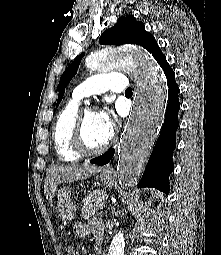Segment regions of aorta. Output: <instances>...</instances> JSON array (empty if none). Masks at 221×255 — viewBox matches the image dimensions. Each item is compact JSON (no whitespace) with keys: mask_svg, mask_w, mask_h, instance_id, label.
Segmentation results:
<instances>
[{"mask_svg":"<svg viewBox=\"0 0 221 255\" xmlns=\"http://www.w3.org/2000/svg\"><path fill=\"white\" fill-rule=\"evenodd\" d=\"M86 66L107 71L115 67L129 70L139 84L128 126L118 147L117 172L124 186L137 183L142 167L157 139L164 118L166 87L155 60L135 46L88 55ZM123 230L114 235L108 255H124Z\"/></svg>","mask_w":221,"mask_h":255,"instance_id":"obj_1","label":"aorta"}]
</instances>
